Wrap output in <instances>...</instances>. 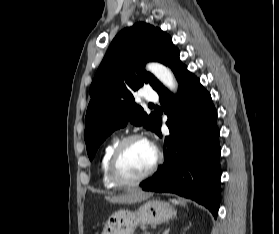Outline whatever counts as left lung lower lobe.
<instances>
[{
    "label": "left lung lower lobe",
    "instance_id": "0a47b994",
    "mask_svg": "<svg viewBox=\"0 0 279 234\" xmlns=\"http://www.w3.org/2000/svg\"><path fill=\"white\" fill-rule=\"evenodd\" d=\"M179 50L168 65L179 82L178 102L161 83L155 89L168 115L163 166L140 186L145 191L176 193L195 200L217 217L220 204V146L217 111L210 94L187 70ZM161 135V118L156 127Z\"/></svg>",
    "mask_w": 279,
    "mask_h": 234
}]
</instances>
